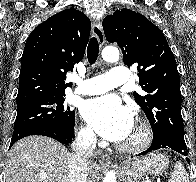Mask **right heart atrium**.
Returning a JSON list of instances; mask_svg holds the SVG:
<instances>
[{
    "label": "right heart atrium",
    "mask_w": 196,
    "mask_h": 182,
    "mask_svg": "<svg viewBox=\"0 0 196 182\" xmlns=\"http://www.w3.org/2000/svg\"><path fill=\"white\" fill-rule=\"evenodd\" d=\"M78 138L83 144L88 146H91L96 142L95 134L89 126L80 127L78 130Z\"/></svg>",
    "instance_id": "obj_1"
}]
</instances>
